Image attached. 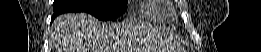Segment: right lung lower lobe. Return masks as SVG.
<instances>
[{"label":"right lung lower lobe","mask_w":261,"mask_h":52,"mask_svg":"<svg viewBox=\"0 0 261 52\" xmlns=\"http://www.w3.org/2000/svg\"><path fill=\"white\" fill-rule=\"evenodd\" d=\"M58 14H53V16H52V21H53V19L57 16ZM51 21V22H52Z\"/></svg>","instance_id":"98d812e1"}]
</instances>
